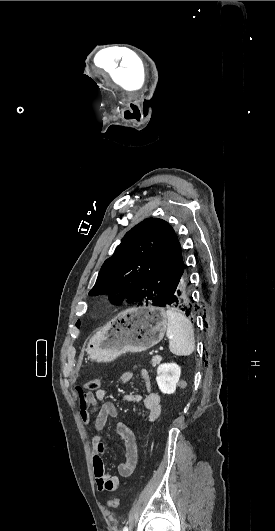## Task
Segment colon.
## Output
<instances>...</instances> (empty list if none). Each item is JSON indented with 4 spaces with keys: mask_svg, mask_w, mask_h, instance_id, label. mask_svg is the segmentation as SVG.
<instances>
[{
    "mask_svg": "<svg viewBox=\"0 0 275 531\" xmlns=\"http://www.w3.org/2000/svg\"><path fill=\"white\" fill-rule=\"evenodd\" d=\"M101 382L102 380L100 377L91 378L85 383L84 388L87 392H90V393L98 392L101 388ZM119 504H120L119 497H111L107 501V505L111 509H117L119 507Z\"/></svg>",
    "mask_w": 275,
    "mask_h": 531,
    "instance_id": "obj_1",
    "label": "colon"
}]
</instances>
